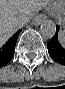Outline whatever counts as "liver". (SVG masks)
<instances>
[{"mask_svg": "<svg viewBox=\"0 0 65 89\" xmlns=\"http://www.w3.org/2000/svg\"><path fill=\"white\" fill-rule=\"evenodd\" d=\"M47 4V1L41 0H0L1 44H4L19 29L17 27L19 19H31Z\"/></svg>", "mask_w": 65, "mask_h": 89, "instance_id": "6515ba94", "label": "liver"}]
</instances>
